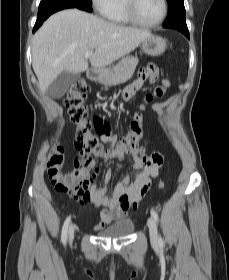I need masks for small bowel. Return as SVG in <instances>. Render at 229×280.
Instances as JSON below:
<instances>
[{
  "instance_id": "obj_1",
  "label": "small bowel",
  "mask_w": 229,
  "mask_h": 280,
  "mask_svg": "<svg viewBox=\"0 0 229 280\" xmlns=\"http://www.w3.org/2000/svg\"><path fill=\"white\" fill-rule=\"evenodd\" d=\"M158 74L159 71L154 66L141 69L137 78L125 88L123 99L125 101L133 99L141 87L146 82L155 81ZM168 85L169 83L164 81L162 86L155 88L153 94L146 96V100L151 101L154 97L162 96L165 93V87ZM100 139L102 142L112 146L117 145V137L110 133H101ZM128 156H131L133 160L132 172L116 183L113 192L109 196L106 195L107 189L104 184L99 186L94 184L88 187L83 186L88 178L89 170L94 167V163L89 159L87 160L88 165L86 166L80 165L79 161L75 160L73 169L65 179L66 182L76 188L70 194L77 202L82 205L92 204L98 208H102L100 213L101 221L95 226L96 231L103 230L114 220L124 218L131 210L136 209L135 202L141 198L139 195L140 189L144 184L150 182L152 177L157 175V172H151L144 165V161L147 158L146 145L121 154L119 160L124 161ZM94 171L97 172L98 170L95 169ZM118 176L119 173L117 174ZM109 178L110 172L107 170L104 173L103 182H106ZM56 185L58 186V184Z\"/></svg>"
}]
</instances>
